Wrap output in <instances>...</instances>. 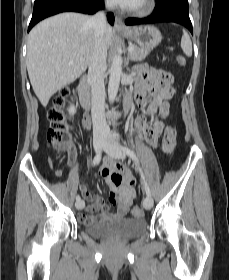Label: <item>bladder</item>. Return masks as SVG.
<instances>
[{
  "mask_svg": "<svg viewBox=\"0 0 229 280\" xmlns=\"http://www.w3.org/2000/svg\"><path fill=\"white\" fill-rule=\"evenodd\" d=\"M85 231L95 237L118 236L134 238L147 230L145 219L122 217L115 220H97L84 223Z\"/></svg>",
  "mask_w": 229,
  "mask_h": 280,
  "instance_id": "31cf9c89",
  "label": "bladder"
}]
</instances>
